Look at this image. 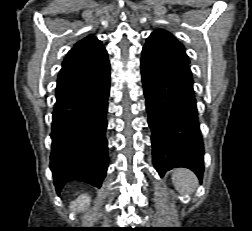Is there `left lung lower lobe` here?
Segmentation results:
<instances>
[{
    "mask_svg": "<svg viewBox=\"0 0 252 231\" xmlns=\"http://www.w3.org/2000/svg\"><path fill=\"white\" fill-rule=\"evenodd\" d=\"M189 64L184 46L174 36H153L143 47L141 74L153 164L161 176L174 167H186L201 180L204 147Z\"/></svg>",
    "mask_w": 252,
    "mask_h": 231,
    "instance_id": "1",
    "label": "left lung lower lobe"
}]
</instances>
